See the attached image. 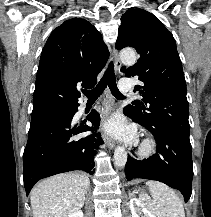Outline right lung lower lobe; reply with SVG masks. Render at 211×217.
Returning a JSON list of instances; mask_svg holds the SVG:
<instances>
[{
  "instance_id": "98d812e1",
  "label": "right lung lower lobe",
  "mask_w": 211,
  "mask_h": 217,
  "mask_svg": "<svg viewBox=\"0 0 211 217\" xmlns=\"http://www.w3.org/2000/svg\"><path fill=\"white\" fill-rule=\"evenodd\" d=\"M78 107V106H77ZM77 107L68 110V115L31 120L28 142L23 154V176L26 194L40 179L72 170L93 174L96 147L102 141L98 135L74 139L79 133L95 131L100 115L93 110L87 121L74 124L72 118Z\"/></svg>"
}]
</instances>
